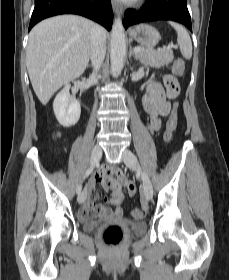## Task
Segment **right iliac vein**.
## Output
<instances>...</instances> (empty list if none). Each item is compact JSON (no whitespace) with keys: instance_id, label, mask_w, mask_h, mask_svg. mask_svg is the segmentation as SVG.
<instances>
[{"instance_id":"63e3f726","label":"right iliac vein","mask_w":229,"mask_h":280,"mask_svg":"<svg viewBox=\"0 0 229 280\" xmlns=\"http://www.w3.org/2000/svg\"><path fill=\"white\" fill-rule=\"evenodd\" d=\"M101 156H102V149L100 146L96 145L93 148L92 154H91V162H90L91 166H95L99 162ZM84 196H85L84 192H82L78 195V199H77L78 203H80V204L83 203Z\"/></svg>"}]
</instances>
